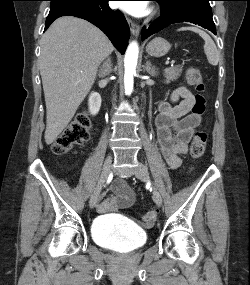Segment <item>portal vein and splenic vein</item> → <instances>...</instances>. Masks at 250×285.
<instances>
[{
    "label": "portal vein and splenic vein",
    "instance_id": "obj_1",
    "mask_svg": "<svg viewBox=\"0 0 250 285\" xmlns=\"http://www.w3.org/2000/svg\"><path fill=\"white\" fill-rule=\"evenodd\" d=\"M166 64L168 65V64H169V62H166ZM171 64H173V62H171Z\"/></svg>",
    "mask_w": 250,
    "mask_h": 285
}]
</instances>
